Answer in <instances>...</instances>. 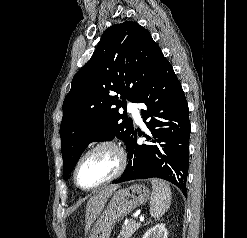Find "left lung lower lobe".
I'll return each mask as SVG.
<instances>
[{
  "label": "left lung lower lobe",
  "instance_id": "left-lung-lower-lobe-1",
  "mask_svg": "<svg viewBox=\"0 0 247 238\" xmlns=\"http://www.w3.org/2000/svg\"><path fill=\"white\" fill-rule=\"evenodd\" d=\"M139 103L151 132L147 144L138 145L134 130L128 144V165L114 183L161 178L186 192L189 167L190 121L188 104L171 64L165 58ZM147 121V122H146Z\"/></svg>",
  "mask_w": 247,
  "mask_h": 238
}]
</instances>
